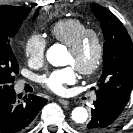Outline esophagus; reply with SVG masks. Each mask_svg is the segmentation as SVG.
Masks as SVG:
<instances>
[{"instance_id":"esophagus-1","label":"esophagus","mask_w":133,"mask_h":133,"mask_svg":"<svg viewBox=\"0 0 133 133\" xmlns=\"http://www.w3.org/2000/svg\"><path fill=\"white\" fill-rule=\"evenodd\" d=\"M58 102L63 105H68L70 102L66 99L58 98Z\"/></svg>"}]
</instances>
